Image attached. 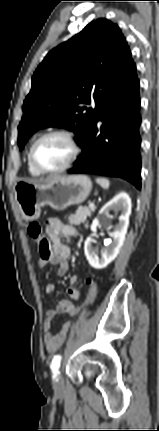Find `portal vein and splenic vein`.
<instances>
[{
	"instance_id": "1",
	"label": "portal vein and splenic vein",
	"mask_w": 159,
	"mask_h": 431,
	"mask_svg": "<svg viewBox=\"0 0 159 431\" xmlns=\"http://www.w3.org/2000/svg\"><path fill=\"white\" fill-rule=\"evenodd\" d=\"M93 207H95L94 203H90L89 208H93Z\"/></svg>"
}]
</instances>
